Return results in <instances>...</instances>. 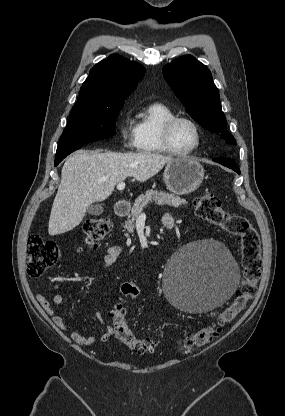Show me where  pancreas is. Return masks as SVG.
<instances>
[{
  "instance_id": "pancreas-1",
  "label": "pancreas",
  "mask_w": 285,
  "mask_h": 416,
  "mask_svg": "<svg viewBox=\"0 0 285 416\" xmlns=\"http://www.w3.org/2000/svg\"><path fill=\"white\" fill-rule=\"evenodd\" d=\"M149 202H156L157 206H173V208H178V206H182V204H188L186 200H181L180 196L166 194V192H157V190H148V192H145V194H141V196L136 198L130 214L131 220H127L125 226H123L130 234L135 228V218L140 216L143 208H145ZM124 236L127 238L128 234H124Z\"/></svg>"
}]
</instances>
